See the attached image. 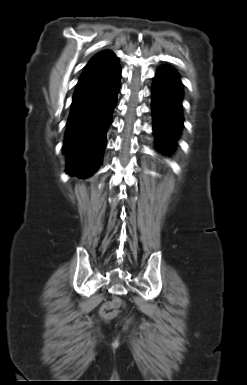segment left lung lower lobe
Returning a JSON list of instances; mask_svg holds the SVG:
<instances>
[{"instance_id": "obj_1", "label": "left lung lower lobe", "mask_w": 247, "mask_h": 385, "mask_svg": "<svg viewBox=\"0 0 247 385\" xmlns=\"http://www.w3.org/2000/svg\"><path fill=\"white\" fill-rule=\"evenodd\" d=\"M183 87L170 66L158 69L152 85L153 131L158 148L171 151L183 126Z\"/></svg>"}]
</instances>
